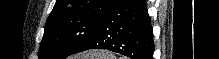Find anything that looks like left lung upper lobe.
<instances>
[{
    "label": "left lung upper lobe",
    "mask_w": 219,
    "mask_h": 59,
    "mask_svg": "<svg viewBox=\"0 0 219 59\" xmlns=\"http://www.w3.org/2000/svg\"><path fill=\"white\" fill-rule=\"evenodd\" d=\"M113 0H57L47 18L39 59H65L94 35Z\"/></svg>",
    "instance_id": "left-lung-upper-lobe-1"
}]
</instances>
